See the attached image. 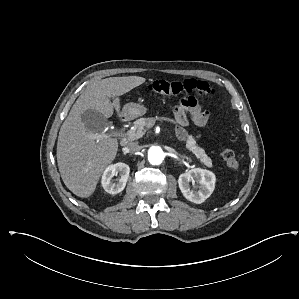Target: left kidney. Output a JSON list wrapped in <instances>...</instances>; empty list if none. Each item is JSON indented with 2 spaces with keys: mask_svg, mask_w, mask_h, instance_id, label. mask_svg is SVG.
Masks as SVG:
<instances>
[{
  "mask_svg": "<svg viewBox=\"0 0 299 299\" xmlns=\"http://www.w3.org/2000/svg\"><path fill=\"white\" fill-rule=\"evenodd\" d=\"M192 182L199 184L198 190L195 191L190 187ZM216 177L213 172L201 168L191 169L179 176L178 184L183 196L196 204L203 203L213 192L215 188Z\"/></svg>",
  "mask_w": 299,
  "mask_h": 299,
  "instance_id": "5707ae66",
  "label": "left kidney"
}]
</instances>
